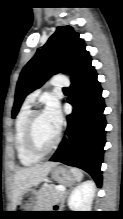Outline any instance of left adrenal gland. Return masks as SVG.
<instances>
[{
  "mask_svg": "<svg viewBox=\"0 0 123 219\" xmlns=\"http://www.w3.org/2000/svg\"><path fill=\"white\" fill-rule=\"evenodd\" d=\"M68 192H69V191H66V192H65L64 198H63V200H62V206H63V204H64V200H65V197H66V195L68 194Z\"/></svg>",
  "mask_w": 123,
  "mask_h": 219,
  "instance_id": "left-adrenal-gland-1",
  "label": "left adrenal gland"
}]
</instances>
